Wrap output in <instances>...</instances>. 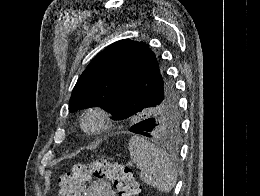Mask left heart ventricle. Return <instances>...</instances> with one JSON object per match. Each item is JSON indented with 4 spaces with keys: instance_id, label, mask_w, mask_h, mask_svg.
Returning <instances> with one entry per match:
<instances>
[{
    "instance_id": "b2bd125f",
    "label": "left heart ventricle",
    "mask_w": 260,
    "mask_h": 196,
    "mask_svg": "<svg viewBox=\"0 0 260 196\" xmlns=\"http://www.w3.org/2000/svg\"><path fill=\"white\" fill-rule=\"evenodd\" d=\"M97 121H96V118L95 117H90L86 120V126L89 127V128H92L96 125Z\"/></svg>"
}]
</instances>
